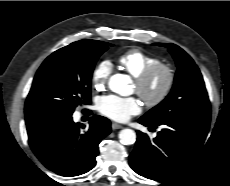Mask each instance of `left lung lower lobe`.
<instances>
[{"label":"left lung lower lobe","instance_id":"1","mask_svg":"<svg viewBox=\"0 0 230 186\" xmlns=\"http://www.w3.org/2000/svg\"><path fill=\"white\" fill-rule=\"evenodd\" d=\"M139 123L155 127L164 125L153 140L137 131L130 167L153 180H167L187 166L202 147L208 133L210 115H187L153 124L144 118Z\"/></svg>","mask_w":230,"mask_h":186}]
</instances>
